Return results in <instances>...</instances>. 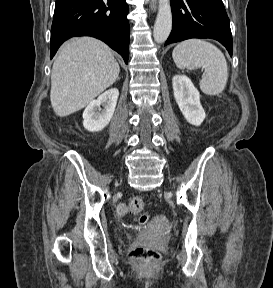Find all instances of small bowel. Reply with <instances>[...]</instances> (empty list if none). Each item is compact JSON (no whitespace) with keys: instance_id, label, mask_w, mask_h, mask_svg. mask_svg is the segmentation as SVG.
Listing matches in <instances>:
<instances>
[{"instance_id":"small-bowel-1","label":"small bowel","mask_w":273,"mask_h":288,"mask_svg":"<svg viewBox=\"0 0 273 288\" xmlns=\"http://www.w3.org/2000/svg\"><path fill=\"white\" fill-rule=\"evenodd\" d=\"M116 211L119 216H123L128 212V206L126 204H120L117 206Z\"/></svg>"}]
</instances>
